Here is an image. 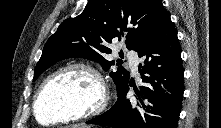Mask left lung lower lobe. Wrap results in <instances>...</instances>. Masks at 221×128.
Wrapping results in <instances>:
<instances>
[{
	"label": "left lung lower lobe",
	"mask_w": 221,
	"mask_h": 128,
	"mask_svg": "<svg viewBox=\"0 0 221 128\" xmlns=\"http://www.w3.org/2000/svg\"><path fill=\"white\" fill-rule=\"evenodd\" d=\"M145 86L135 88L136 102L126 98L128 84L118 92V101L88 124L112 128H177L184 92V69L176 29L166 15L158 28L136 51Z\"/></svg>",
	"instance_id": "obj_1"
}]
</instances>
